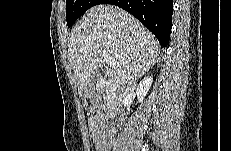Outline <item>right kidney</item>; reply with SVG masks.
I'll list each match as a JSON object with an SVG mask.
<instances>
[{
    "instance_id": "ca27d5eb",
    "label": "right kidney",
    "mask_w": 231,
    "mask_h": 151,
    "mask_svg": "<svg viewBox=\"0 0 231 151\" xmlns=\"http://www.w3.org/2000/svg\"><path fill=\"white\" fill-rule=\"evenodd\" d=\"M153 82V77L152 76H147L145 77L137 86L136 88V94L139 102H143L144 98L146 97L151 84Z\"/></svg>"
}]
</instances>
